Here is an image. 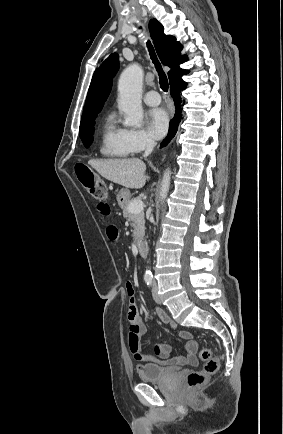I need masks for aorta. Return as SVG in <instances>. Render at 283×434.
<instances>
[{"label":"aorta","mask_w":283,"mask_h":434,"mask_svg":"<svg viewBox=\"0 0 283 434\" xmlns=\"http://www.w3.org/2000/svg\"><path fill=\"white\" fill-rule=\"evenodd\" d=\"M143 69L137 63L129 65L121 74L118 82V108L125 115L124 125L139 128L143 121L142 109ZM171 180V171L167 169L160 188L161 201L165 200ZM149 271L146 272V274Z\"/></svg>","instance_id":"1"}]
</instances>
